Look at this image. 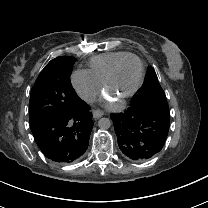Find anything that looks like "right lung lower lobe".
Masks as SVG:
<instances>
[{"label":"right lung lower lobe","mask_w":208,"mask_h":208,"mask_svg":"<svg viewBox=\"0 0 208 208\" xmlns=\"http://www.w3.org/2000/svg\"><path fill=\"white\" fill-rule=\"evenodd\" d=\"M94 123L90 107L80 99L79 107L68 114L30 123L42 153L56 163H72L86 151Z\"/></svg>","instance_id":"98d812e1"}]
</instances>
